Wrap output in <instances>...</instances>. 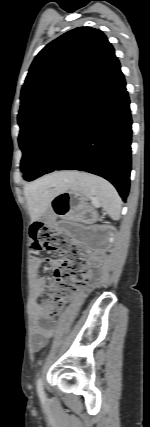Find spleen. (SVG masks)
Masks as SVG:
<instances>
[{
    "mask_svg": "<svg viewBox=\"0 0 150 427\" xmlns=\"http://www.w3.org/2000/svg\"><path fill=\"white\" fill-rule=\"evenodd\" d=\"M70 188L81 192L85 199L101 206L113 220L119 219L121 198L112 184L105 179L88 173L75 172Z\"/></svg>",
    "mask_w": 150,
    "mask_h": 427,
    "instance_id": "1",
    "label": "spleen"
}]
</instances>
